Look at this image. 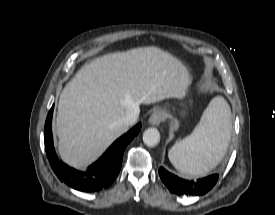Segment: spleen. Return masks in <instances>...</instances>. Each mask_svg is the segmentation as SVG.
<instances>
[{"instance_id":"3e777b00","label":"spleen","mask_w":275,"mask_h":215,"mask_svg":"<svg viewBox=\"0 0 275 215\" xmlns=\"http://www.w3.org/2000/svg\"><path fill=\"white\" fill-rule=\"evenodd\" d=\"M232 131L231 110L222 97H215L194 131L169 150L173 166L189 175H205L224 157Z\"/></svg>"}]
</instances>
